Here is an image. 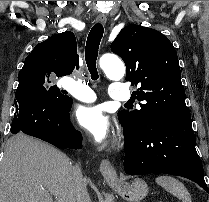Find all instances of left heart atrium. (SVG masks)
<instances>
[{"label":"left heart atrium","instance_id":"39dd6f15","mask_svg":"<svg viewBox=\"0 0 209 202\" xmlns=\"http://www.w3.org/2000/svg\"><path fill=\"white\" fill-rule=\"evenodd\" d=\"M77 123L95 142H102L110 132V122L100 106H82L75 113Z\"/></svg>","mask_w":209,"mask_h":202}]
</instances>
